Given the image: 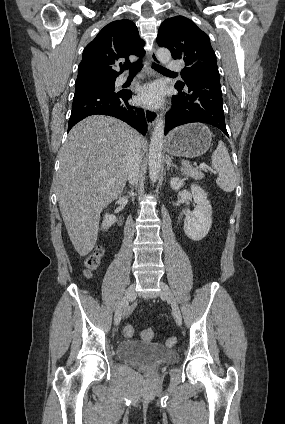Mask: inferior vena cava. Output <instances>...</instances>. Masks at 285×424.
Here are the masks:
<instances>
[{"label":"inferior vena cava","instance_id":"602c4592","mask_svg":"<svg viewBox=\"0 0 285 424\" xmlns=\"http://www.w3.org/2000/svg\"><path fill=\"white\" fill-rule=\"evenodd\" d=\"M140 160V147L138 143H136L128 160V181L131 186L137 184L140 170Z\"/></svg>","mask_w":285,"mask_h":424}]
</instances>
